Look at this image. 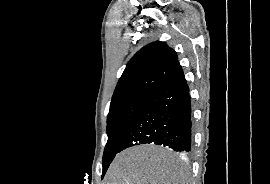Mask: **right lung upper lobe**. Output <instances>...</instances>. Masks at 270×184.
Returning a JSON list of instances; mask_svg holds the SVG:
<instances>
[{
    "instance_id": "right-lung-upper-lobe-1",
    "label": "right lung upper lobe",
    "mask_w": 270,
    "mask_h": 184,
    "mask_svg": "<svg viewBox=\"0 0 270 184\" xmlns=\"http://www.w3.org/2000/svg\"><path fill=\"white\" fill-rule=\"evenodd\" d=\"M182 71L176 52L164 42H153L128 62L112 96V101L134 95L151 96Z\"/></svg>"
}]
</instances>
